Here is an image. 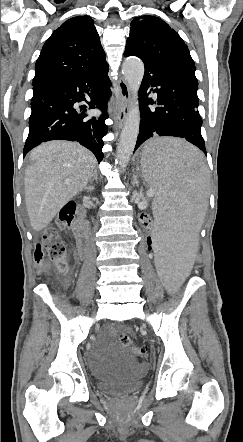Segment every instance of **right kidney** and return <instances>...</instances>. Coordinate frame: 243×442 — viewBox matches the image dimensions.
Masks as SVG:
<instances>
[{
    "mask_svg": "<svg viewBox=\"0 0 243 442\" xmlns=\"http://www.w3.org/2000/svg\"><path fill=\"white\" fill-rule=\"evenodd\" d=\"M87 189L91 191V190H93V187H89V188H87Z\"/></svg>",
    "mask_w": 243,
    "mask_h": 442,
    "instance_id": "ca27d5eb",
    "label": "right kidney"
}]
</instances>
